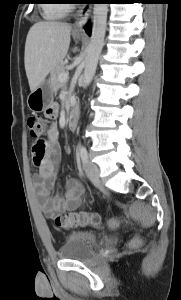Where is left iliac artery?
<instances>
[{
	"label": "left iliac artery",
	"mask_w": 181,
	"mask_h": 300,
	"mask_svg": "<svg viewBox=\"0 0 181 300\" xmlns=\"http://www.w3.org/2000/svg\"><path fill=\"white\" fill-rule=\"evenodd\" d=\"M80 157L83 163H86L88 161L87 150L84 146L80 147Z\"/></svg>",
	"instance_id": "1"
}]
</instances>
